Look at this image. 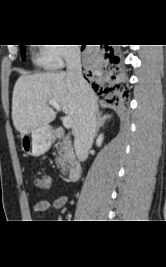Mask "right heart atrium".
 <instances>
[{"instance_id": "obj_1", "label": "right heart atrium", "mask_w": 166, "mask_h": 267, "mask_svg": "<svg viewBox=\"0 0 166 267\" xmlns=\"http://www.w3.org/2000/svg\"><path fill=\"white\" fill-rule=\"evenodd\" d=\"M46 66L50 69H58L65 61L76 57L77 51L73 46L48 44L44 50Z\"/></svg>"}]
</instances>
